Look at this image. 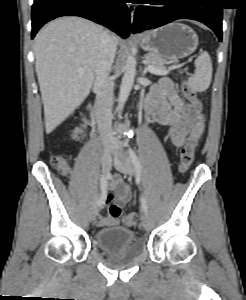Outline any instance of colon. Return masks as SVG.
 I'll return each mask as SVG.
<instances>
[{"mask_svg": "<svg viewBox=\"0 0 246 300\" xmlns=\"http://www.w3.org/2000/svg\"><path fill=\"white\" fill-rule=\"evenodd\" d=\"M182 92L186 99L193 105L200 104V98L197 92L189 85L187 81L182 84ZM205 120L204 115L199 116V123L202 124ZM82 136V130L78 129L74 133V138L79 139ZM198 146V133L191 134L180 151L179 171L184 173L192 165L195 157V151ZM51 163L59 172L66 174L69 171V165L66 159L60 155H55L51 159ZM109 215L115 219L120 218V221L125 226H134L137 223L138 217L135 213L122 214L121 209L117 205L109 207Z\"/></svg>", "mask_w": 246, "mask_h": 300, "instance_id": "colon-1", "label": "colon"}]
</instances>
